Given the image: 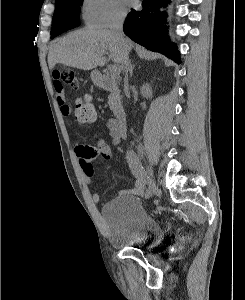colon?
I'll return each mask as SVG.
<instances>
[{
  "label": "colon",
  "mask_w": 245,
  "mask_h": 300,
  "mask_svg": "<svg viewBox=\"0 0 245 300\" xmlns=\"http://www.w3.org/2000/svg\"><path fill=\"white\" fill-rule=\"evenodd\" d=\"M61 83L76 90L78 78L73 70L64 69L55 71L53 74ZM75 117L79 123L92 124L96 119V112L91 98L88 95L78 97L75 101Z\"/></svg>",
  "instance_id": "1"
}]
</instances>
